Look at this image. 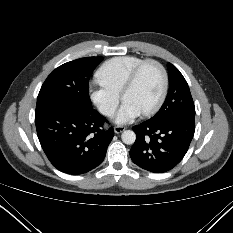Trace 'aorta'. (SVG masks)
I'll return each mask as SVG.
<instances>
[{
	"label": "aorta",
	"instance_id": "762f6f07",
	"mask_svg": "<svg viewBox=\"0 0 233 233\" xmlns=\"http://www.w3.org/2000/svg\"><path fill=\"white\" fill-rule=\"evenodd\" d=\"M121 138H122L123 143L127 145H131L136 140V134L132 130H125L123 131Z\"/></svg>",
	"mask_w": 233,
	"mask_h": 233
}]
</instances>
